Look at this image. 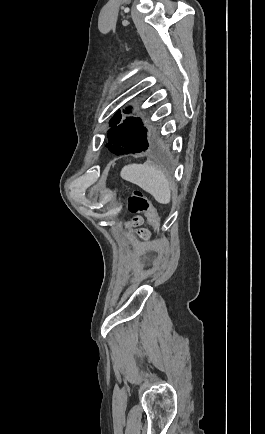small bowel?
I'll list each match as a JSON object with an SVG mask.
<instances>
[{"label":"small bowel","instance_id":"obj_1","mask_svg":"<svg viewBox=\"0 0 265 434\" xmlns=\"http://www.w3.org/2000/svg\"><path fill=\"white\" fill-rule=\"evenodd\" d=\"M143 224V219L141 218V217H139V216H137V217H135L133 220H132V226L133 227H139V226H141ZM143 235H145V236H148V233H146V232H141Z\"/></svg>","mask_w":265,"mask_h":434}]
</instances>
